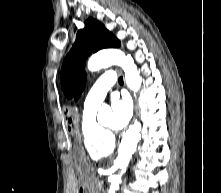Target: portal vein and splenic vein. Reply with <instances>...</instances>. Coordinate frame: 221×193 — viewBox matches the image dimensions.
I'll list each match as a JSON object with an SVG mask.
<instances>
[{"label": "portal vein and splenic vein", "mask_w": 221, "mask_h": 193, "mask_svg": "<svg viewBox=\"0 0 221 193\" xmlns=\"http://www.w3.org/2000/svg\"><path fill=\"white\" fill-rule=\"evenodd\" d=\"M102 184H103V182H102V181H100V182H99V185H100V186H102Z\"/></svg>", "instance_id": "obj_1"}]
</instances>
